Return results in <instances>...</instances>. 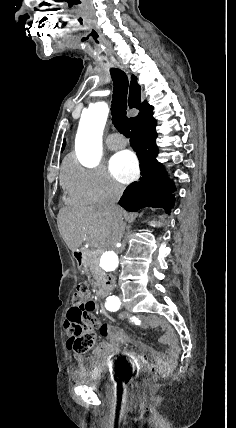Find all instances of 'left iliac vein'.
Here are the masks:
<instances>
[{
	"instance_id": "obj_1",
	"label": "left iliac vein",
	"mask_w": 236,
	"mask_h": 428,
	"mask_svg": "<svg viewBox=\"0 0 236 428\" xmlns=\"http://www.w3.org/2000/svg\"><path fill=\"white\" fill-rule=\"evenodd\" d=\"M119 297H120V301H123L122 294H119Z\"/></svg>"
}]
</instances>
